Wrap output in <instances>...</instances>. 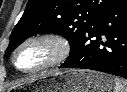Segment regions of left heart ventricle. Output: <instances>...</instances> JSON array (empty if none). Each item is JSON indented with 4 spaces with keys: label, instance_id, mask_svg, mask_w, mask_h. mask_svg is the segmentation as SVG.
<instances>
[{
    "label": "left heart ventricle",
    "instance_id": "left-heart-ventricle-1",
    "mask_svg": "<svg viewBox=\"0 0 127 92\" xmlns=\"http://www.w3.org/2000/svg\"><path fill=\"white\" fill-rule=\"evenodd\" d=\"M53 55L49 44L43 42L31 43L18 54L17 65L24 70H30L47 63Z\"/></svg>",
    "mask_w": 127,
    "mask_h": 92
}]
</instances>
